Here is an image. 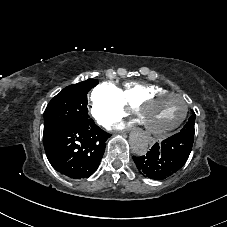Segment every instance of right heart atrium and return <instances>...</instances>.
Returning <instances> with one entry per match:
<instances>
[{
  "label": "right heart atrium",
  "instance_id": "obj_1",
  "mask_svg": "<svg viewBox=\"0 0 227 227\" xmlns=\"http://www.w3.org/2000/svg\"><path fill=\"white\" fill-rule=\"evenodd\" d=\"M91 114L103 127L112 128L127 114L120 89L112 82L97 85L90 94Z\"/></svg>",
  "mask_w": 227,
  "mask_h": 227
}]
</instances>
